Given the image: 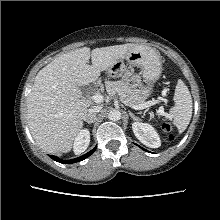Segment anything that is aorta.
<instances>
[{"label": "aorta", "instance_id": "1", "mask_svg": "<svg viewBox=\"0 0 220 220\" xmlns=\"http://www.w3.org/2000/svg\"><path fill=\"white\" fill-rule=\"evenodd\" d=\"M108 119L111 121H118L121 119V112L118 109H113L108 114Z\"/></svg>", "mask_w": 220, "mask_h": 220}]
</instances>
